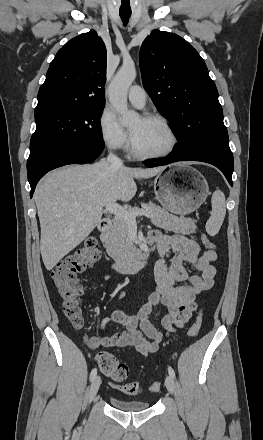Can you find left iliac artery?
<instances>
[{
    "label": "left iliac artery",
    "instance_id": "44dca946",
    "mask_svg": "<svg viewBox=\"0 0 263 440\" xmlns=\"http://www.w3.org/2000/svg\"><path fill=\"white\" fill-rule=\"evenodd\" d=\"M168 373L172 378H175V372L172 367H168Z\"/></svg>",
    "mask_w": 263,
    "mask_h": 440
}]
</instances>
